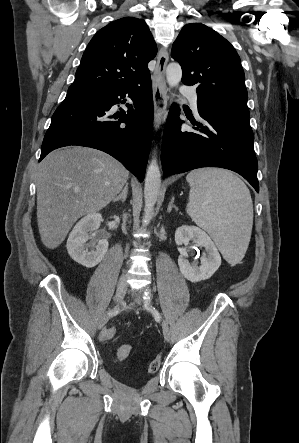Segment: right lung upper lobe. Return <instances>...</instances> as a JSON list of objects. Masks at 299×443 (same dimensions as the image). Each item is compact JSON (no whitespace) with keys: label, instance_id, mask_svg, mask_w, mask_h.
<instances>
[{"label":"right lung upper lobe","instance_id":"cb5924a9","mask_svg":"<svg viewBox=\"0 0 299 443\" xmlns=\"http://www.w3.org/2000/svg\"><path fill=\"white\" fill-rule=\"evenodd\" d=\"M157 53L143 19L124 17L100 29L89 42L70 88L101 91L150 77L147 63Z\"/></svg>","mask_w":299,"mask_h":443}]
</instances>
